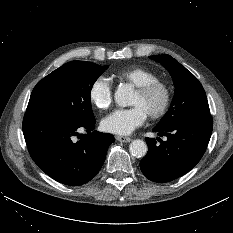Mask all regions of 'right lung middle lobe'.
<instances>
[{"instance_id": "obj_1", "label": "right lung middle lobe", "mask_w": 233, "mask_h": 233, "mask_svg": "<svg viewBox=\"0 0 233 233\" xmlns=\"http://www.w3.org/2000/svg\"><path fill=\"white\" fill-rule=\"evenodd\" d=\"M107 67L86 61L64 64L37 83L27 109L50 110L86 123L94 121L90 92Z\"/></svg>"}]
</instances>
